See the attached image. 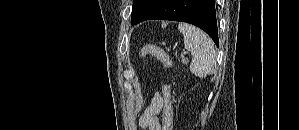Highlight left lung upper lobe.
<instances>
[{"label": "left lung upper lobe", "mask_w": 299, "mask_h": 130, "mask_svg": "<svg viewBox=\"0 0 299 130\" xmlns=\"http://www.w3.org/2000/svg\"><path fill=\"white\" fill-rule=\"evenodd\" d=\"M149 10V0H134L131 23L139 22Z\"/></svg>", "instance_id": "left-lung-upper-lobe-1"}]
</instances>
